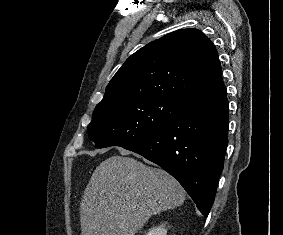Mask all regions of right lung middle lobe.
<instances>
[{
  "label": "right lung middle lobe",
  "mask_w": 283,
  "mask_h": 235,
  "mask_svg": "<svg viewBox=\"0 0 283 235\" xmlns=\"http://www.w3.org/2000/svg\"><path fill=\"white\" fill-rule=\"evenodd\" d=\"M181 103L168 97H131L98 105L88 136L97 148L124 147L163 129Z\"/></svg>",
  "instance_id": "1"
}]
</instances>
